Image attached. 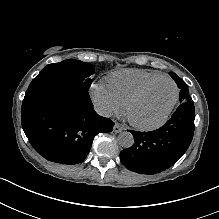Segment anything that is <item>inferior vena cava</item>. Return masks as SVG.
<instances>
[{"instance_id": "602c4592", "label": "inferior vena cava", "mask_w": 219, "mask_h": 219, "mask_svg": "<svg viewBox=\"0 0 219 219\" xmlns=\"http://www.w3.org/2000/svg\"><path fill=\"white\" fill-rule=\"evenodd\" d=\"M95 110L99 115L104 116V117H110L112 115V111L104 105L96 106Z\"/></svg>"}]
</instances>
